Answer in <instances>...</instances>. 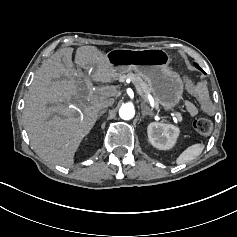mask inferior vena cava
Segmentation results:
<instances>
[{"instance_id":"obj_1","label":"inferior vena cava","mask_w":237,"mask_h":237,"mask_svg":"<svg viewBox=\"0 0 237 237\" xmlns=\"http://www.w3.org/2000/svg\"><path fill=\"white\" fill-rule=\"evenodd\" d=\"M114 104V99L113 98H107L102 101L101 106L102 108H106L109 106H112Z\"/></svg>"}]
</instances>
